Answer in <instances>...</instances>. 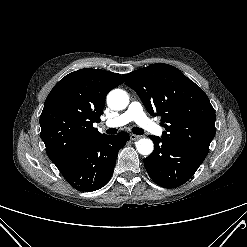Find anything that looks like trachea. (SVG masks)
<instances>
[{
    "label": "trachea",
    "instance_id": "trachea-1",
    "mask_svg": "<svg viewBox=\"0 0 247 247\" xmlns=\"http://www.w3.org/2000/svg\"><path fill=\"white\" fill-rule=\"evenodd\" d=\"M107 132H108L109 134H115V133H117V130L114 129V128H110V129L107 130ZM132 132H133L134 134H136V135H142V134L144 133V130L141 129V128H139V127H133V128H132Z\"/></svg>",
    "mask_w": 247,
    "mask_h": 247
}]
</instances>
